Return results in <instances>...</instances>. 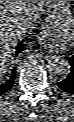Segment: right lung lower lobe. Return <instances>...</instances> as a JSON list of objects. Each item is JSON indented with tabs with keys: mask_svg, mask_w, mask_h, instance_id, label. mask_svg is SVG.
<instances>
[{
	"mask_svg": "<svg viewBox=\"0 0 74 122\" xmlns=\"http://www.w3.org/2000/svg\"><path fill=\"white\" fill-rule=\"evenodd\" d=\"M23 47H24L23 42H20L16 47L15 56H17L20 52L24 50ZM15 76H16V69H13L11 76L7 80L0 81V96L11 89L12 85L14 84Z\"/></svg>",
	"mask_w": 74,
	"mask_h": 122,
	"instance_id": "1",
	"label": "right lung lower lobe"
}]
</instances>
